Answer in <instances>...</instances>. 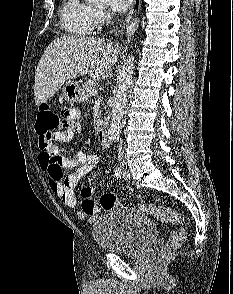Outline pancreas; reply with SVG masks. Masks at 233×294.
<instances>
[{"label": "pancreas", "mask_w": 233, "mask_h": 294, "mask_svg": "<svg viewBox=\"0 0 233 294\" xmlns=\"http://www.w3.org/2000/svg\"><path fill=\"white\" fill-rule=\"evenodd\" d=\"M94 85L91 83V81H85L81 88V100L87 101L91 95L89 94V90L93 89Z\"/></svg>", "instance_id": "1"}]
</instances>
